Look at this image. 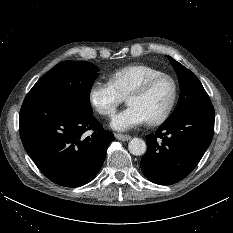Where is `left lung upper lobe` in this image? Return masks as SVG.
Here are the masks:
<instances>
[{"label": "left lung upper lobe", "instance_id": "1", "mask_svg": "<svg viewBox=\"0 0 233 233\" xmlns=\"http://www.w3.org/2000/svg\"><path fill=\"white\" fill-rule=\"evenodd\" d=\"M168 58L178 75L181 92L175 110L165 122L173 121L192 109L211 105L209 96L196 75L170 56Z\"/></svg>", "mask_w": 233, "mask_h": 233}]
</instances>
